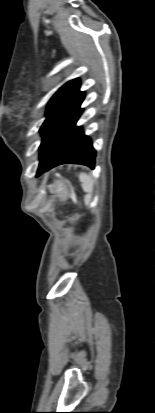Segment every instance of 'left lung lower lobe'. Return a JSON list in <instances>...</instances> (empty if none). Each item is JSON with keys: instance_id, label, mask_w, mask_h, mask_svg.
Segmentation results:
<instances>
[{"instance_id": "0a47b994", "label": "left lung lower lobe", "mask_w": 155, "mask_h": 413, "mask_svg": "<svg viewBox=\"0 0 155 413\" xmlns=\"http://www.w3.org/2000/svg\"><path fill=\"white\" fill-rule=\"evenodd\" d=\"M57 143L60 144V151L39 166L37 176L65 163L83 164L94 168L96 152L92 147L90 138L84 135L81 127L75 126L71 131L64 133L55 142V144Z\"/></svg>"}]
</instances>
